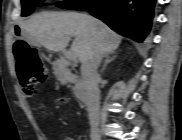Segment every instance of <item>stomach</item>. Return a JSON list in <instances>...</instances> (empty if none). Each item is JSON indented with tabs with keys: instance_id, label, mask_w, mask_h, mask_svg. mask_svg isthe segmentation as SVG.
<instances>
[{
	"instance_id": "1",
	"label": "stomach",
	"mask_w": 182,
	"mask_h": 140,
	"mask_svg": "<svg viewBox=\"0 0 182 140\" xmlns=\"http://www.w3.org/2000/svg\"><path fill=\"white\" fill-rule=\"evenodd\" d=\"M11 29L12 30H23L24 26L23 25H12ZM13 35L16 36L15 37L16 41H31L32 43H35L34 41L31 40V36H26V31H14Z\"/></svg>"
}]
</instances>
